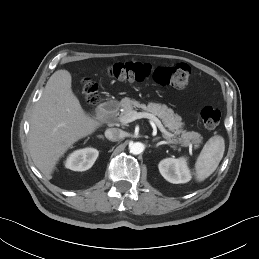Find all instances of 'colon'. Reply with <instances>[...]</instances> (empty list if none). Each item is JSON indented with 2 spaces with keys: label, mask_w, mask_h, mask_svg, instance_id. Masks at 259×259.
Wrapping results in <instances>:
<instances>
[{
  "label": "colon",
  "mask_w": 259,
  "mask_h": 259,
  "mask_svg": "<svg viewBox=\"0 0 259 259\" xmlns=\"http://www.w3.org/2000/svg\"><path fill=\"white\" fill-rule=\"evenodd\" d=\"M108 74L116 80L128 82H142L152 78L154 82L161 86L183 90L190 82L191 69L183 63L152 67L148 63L129 61L119 62L109 66ZM81 93L84 100L90 106L98 103L97 87L91 80L83 81ZM200 116L205 128L212 130L218 126L221 119V112L215 107L206 106L201 110Z\"/></svg>",
  "instance_id": "1"
}]
</instances>
